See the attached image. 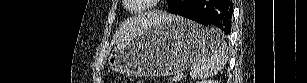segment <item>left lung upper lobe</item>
Returning <instances> with one entry per match:
<instances>
[{
    "label": "left lung upper lobe",
    "instance_id": "5c2ea615",
    "mask_svg": "<svg viewBox=\"0 0 307 83\" xmlns=\"http://www.w3.org/2000/svg\"><path fill=\"white\" fill-rule=\"evenodd\" d=\"M172 2V0H168V5Z\"/></svg>",
    "mask_w": 307,
    "mask_h": 83
}]
</instances>
